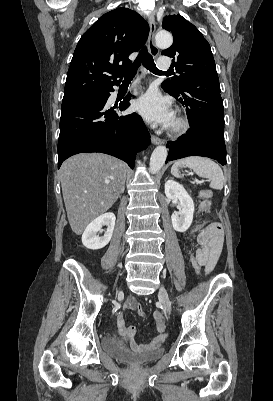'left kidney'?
Returning a JSON list of instances; mask_svg holds the SVG:
<instances>
[{
	"label": "left kidney",
	"instance_id": "5707ae66",
	"mask_svg": "<svg viewBox=\"0 0 273 401\" xmlns=\"http://www.w3.org/2000/svg\"><path fill=\"white\" fill-rule=\"evenodd\" d=\"M165 194L167 198H178L180 203L181 211L173 213L172 225L175 231L178 233H185L193 221L194 215V203L193 198L185 190L183 184L175 182V180H167L165 182Z\"/></svg>",
	"mask_w": 273,
	"mask_h": 401
}]
</instances>
